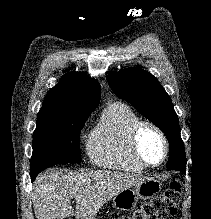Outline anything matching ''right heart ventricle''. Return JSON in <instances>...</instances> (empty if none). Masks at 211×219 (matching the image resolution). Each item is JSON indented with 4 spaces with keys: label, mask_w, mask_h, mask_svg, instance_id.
Segmentation results:
<instances>
[{
    "label": "right heart ventricle",
    "mask_w": 211,
    "mask_h": 219,
    "mask_svg": "<svg viewBox=\"0 0 211 219\" xmlns=\"http://www.w3.org/2000/svg\"><path fill=\"white\" fill-rule=\"evenodd\" d=\"M138 121V115L123 103L107 106L86 145L91 162L125 172L143 170L145 167L134 158L130 148L131 130Z\"/></svg>",
    "instance_id": "right-heart-ventricle-1"
}]
</instances>
